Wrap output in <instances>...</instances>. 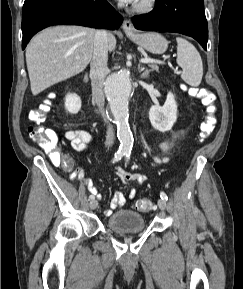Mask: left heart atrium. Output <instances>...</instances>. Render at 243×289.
<instances>
[{
  "label": "left heart atrium",
  "mask_w": 243,
  "mask_h": 289,
  "mask_svg": "<svg viewBox=\"0 0 243 289\" xmlns=\"http://www.w3.org/2000/svg\"><path fill=\"white\" fill-rule=\"evenodd\" d=\"M119 1H121V2H123V3L131 4V3H134V2H136V1H138V0H119Z\"/></svg>",
  "instance_id": "left-heart-atrium-1"
}]
</instances>
